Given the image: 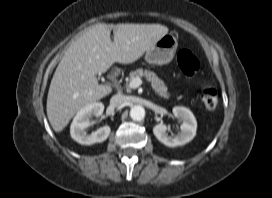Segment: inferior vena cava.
Returning a JSON list of instances; mask_svg holds the SVG:
<instances>
[{
	"instance_id": "inferior-vena-cava-1",
	"label": "inferior vena cava",
	"mask_w": 272,
	"mask_h": 198,
	"mask_svg": "<svg viewBox=\"0 0 272 198\" xmlns=\"http://www.w3.org/2000/svg\"><path fill=\"white\" fill-rule=\"evenodd\" d=\"M127 102L125 95L118 93L111 97L110 104L114 107H121Z\"/></svg>"
}]
</instances>
